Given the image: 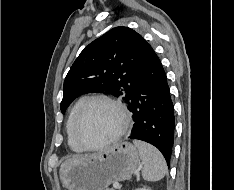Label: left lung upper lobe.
I'll use <instances>...</instances> for the list:
<instances>
[{
  "instance_id": "5c2ea615",
  "label": "left lung upper lobe",
  "mask_w": 234,
  "mask_h": 190,
  "mask_svg": "<svg viewBox=\"0 0 234 190\" xmlns=\"http://www.w3.org/2000/svg\"><path fill=\"white\" fill-rule=\"evenodd\" d=\"M142 41L134 30L119 26L86 46L65 78L61 112L90 92L110 93L128 103L137 81Z\"/></svg>"
}]
</instances>
